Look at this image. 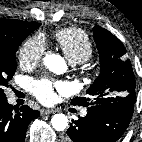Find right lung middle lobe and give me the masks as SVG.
Wrapping results in <instances>:
<instances>
[{"label":"right lung middle lobe","instance_id":"obj_1","mask_svg":"<svg viewBox=\"0 0 142 142\" xmlns=\"http://www.w3.org/2000/svg\"><path fill=\"white\" fill-rule=\"evenodd\" d=\"M36 28L22 31L9 38L0 40V98L6 97L4 87H8L10 81L16 71L15 54L19 45Z\"/></svg>","mask_w":142,"mask_h":142}]
</instances>
